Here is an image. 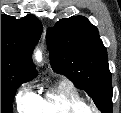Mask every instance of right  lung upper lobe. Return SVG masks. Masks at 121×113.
Listing matches in <instances>:
<instances>
[{
	"label": "right lung upper lobe",
	"mask_w": 121,
	"mask_h": 113,
	"mask_svg": "<svg viewBox=\"0 0 121 113\" xmlns=\"http://www.w3.org/2000/svg\"><path fill=\"white\" fill-rule=\"evenodd\" d=\"M42 33V25L34 15L21 19L1 14V62H7L31 77L37 76L31 54Z\"/></svg>",
	"instance_id": "cb5924a9"
}]
</instances>
